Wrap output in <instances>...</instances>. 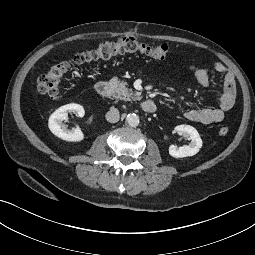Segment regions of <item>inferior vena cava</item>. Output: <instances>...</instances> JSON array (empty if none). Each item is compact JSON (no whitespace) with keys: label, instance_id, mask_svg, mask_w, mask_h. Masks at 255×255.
Here are the masks:
<instances>
[{"label":"inferior vena cava","instance_id":"1","mask_svg":"<svg viewBox=\"0 0 255 255\" xmlns=\"http://www.w3.org/2000/svg\"><path fill=\"white\" fill-rule=\"evenodd\" d=\"M119 118H120L119 111L116 108H112L106 113V120L110 123L117 122Z\"/></svg>","mask_w":255,"mask_h":255}]
</instances>
